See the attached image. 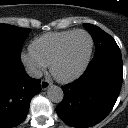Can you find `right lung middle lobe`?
Listing matches in <instances>:
<instances>
[{"mask_svg":"<svg viewBox=\"0 0 128 128\" xmlns=\"http://www.w3.org/2000/svg\"><path fill=\"white\" fill-rule=\"evenodd\" d=\"M28 32V28L0 24V54L21 61L20 50Z\"/></svg>","mask_w":128,"mask_h":128,"instance_id":"1","label":"right lung middle lobe"}]
</instances>
